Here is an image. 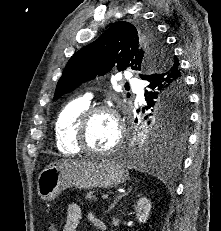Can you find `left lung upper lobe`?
I'll return each mask as SVG.
<instances>
[{"label": "left lung upper lobe", "mask_w": 221, "mask_h": 231, "mask_svg": "<svg viewBox=\"0 0 221 231\" xmlns=\"http://www.w3.org/2000/svg\"><path fill=\"white\" fill-rule=\"evenodd\" d=\"M163 38L156 29L143 24L136 27L129 22L114 23L102 36L76 52L68 61L58 81L55 99L74 89L80 83L104 75L115 63L119 71L130 67L135 70H161L170 58ZM179 65V61L177 62ZM142 78L145 75H140ZM177 102L164 109L157 98L147 102L143 109L150 110L148 125L152 130L147 136H160L170 142L185 141L184 127L188 120V98L184 88L173 90L170 97ZM144 111V110H143ZM148 117V116H147ZM145 117V118H147Z\"/></svg>", "instance_id": "left-lung-upper-lobe-1"}]
</instances>
